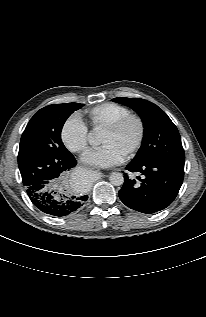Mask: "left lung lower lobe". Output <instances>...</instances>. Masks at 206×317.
I'll use <instances>...</instances> for the list:
<instances>
[{
    "mask_svg": "<svg viewBox=\"0 0 206 317\" xmlns=\"http://www.w3.org/2000/svg\"><path fill=\"white\" fill-rule=\"evenodd\" d=\"M126 169L139 176L137 180H131L125 174L119 198L127 207L146 214L169 206L177 196L184 177V167L165 162L129 163Z\"/></svg>",
    "mask_w": 206,
    "mask_h": 317,
    "instance_id": "obj_1",
    "label": "left lung lower lobe"
}]
</instances>
